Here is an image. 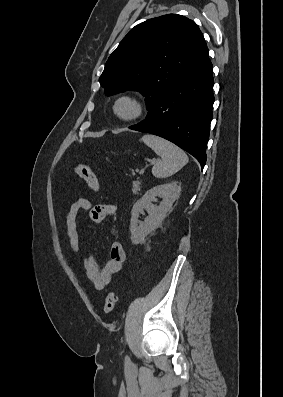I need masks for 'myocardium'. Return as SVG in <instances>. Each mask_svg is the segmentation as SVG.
I'll return each mask as SVG.
<instances>
[{"instance_id": "f54148a6", "label": "myocardium", "mask_w": 283, "mask_h": 397, "mask_svg": "<svg viewBox=\"0 0 283 397\" xmlns=\"http://www.w3.org/2000/svg\"><path fill=\"white\" fill-rule=\"evenodd\" d=\"M122 102H130L133 105L134 110L131 114L122 115L119 112L118 107ZM145 108V103L140 97L127 93L116 98L113 104V113L118 119L125 122H130L139 119L144 114Z\"/></svg>"}]
</instances>
